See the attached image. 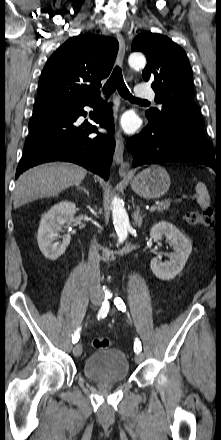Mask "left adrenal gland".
Masks as SVG:
<instances>
[{
  "mask_svg": "<svg viewBox=\"0 0 221 440\" xmlns=\"http://www.w3.org/2000/svg\"><path fill=\"white\" fill-rule=\"evenodd\" d=\"M145 215H142V214H140V208H139V206H137L136 207V210H135V212H134V221H135V224L138 226V227H141V225H142V220H143V217H144Z\"/></svg>",
  "mask_w": 221,
  "mask_h": 440,
  "instance_id": "obj_1",
  "label": "left adrenal gland"
}]
</instances>
